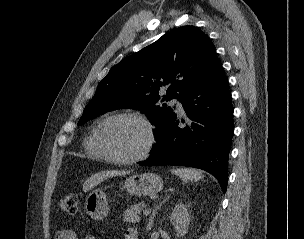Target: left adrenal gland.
<instances>
[{"mask_svg": "<svg viewBox=\"0 0 304 239\" xmlns=\"http://www.w3.org/2000/svg\"><path fill=\"white\" fill-rule=\"evenodd\" d=\"M169 197L165 198L162 202L159 203L158 206H156V208L153 210L152 214L150 215L149 217V222L147 224V230H151V228L153 227V219L155 217V215L157 214V210H159V208L162 206V204H164L166 202V200L168 199Z\"/></svg>", "mask_w": 304, "mask_h": 239, "instance_id": "a2214340", "label": "left adrenal gland"}]
</instances>
